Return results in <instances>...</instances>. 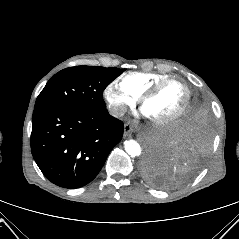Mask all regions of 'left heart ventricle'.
I'll list each match as a JSON object with an SVG mask.
<instances>
[{"mask_svg": "<svg viewBox=\"0 0 239 239\" xmlns=\"http://www.w3.org/2000/svg\"><path fill=\"white\" fill-rule=\"evenodd\" d=\"M186 91L182 84L172 82L147 100L142 109L150 117H166L174 114L183 105Z\"/></svg>", "mask_w": 239, "mask_h": 239, "instance_id": "b2bd125f", "label": "left heart ventricle"}]
</instances>
